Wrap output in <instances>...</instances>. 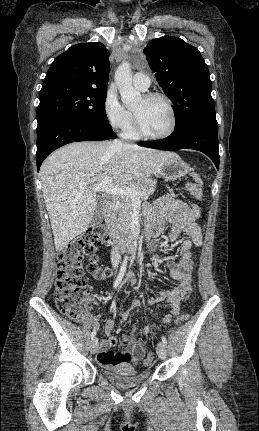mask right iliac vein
Segmentation results:
<instances>
[{"instance_id":"right-iliac-vein-1","label":"right iliac vein","mask_w":259,"mask_h":431,"mask_svg":"<svg viewBox=\"0 0 259 431\" xmlns=\"http://www.w3.org/2000/svg\"><path fill=\"white\" fill-rule=\"evenodd\" d=\"M98 348V341L96 338L92 339V341L90 342V352L92 354H95Z\"/></svg>"}]
</instances>
